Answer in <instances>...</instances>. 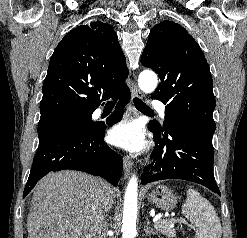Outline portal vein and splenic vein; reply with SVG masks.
<instances>
[{
  "instance_id": "portal-vein-and-splenic-vein-1",
  "label": "portal vein and splenic vein",
  "mask_w": 247,
  "mask_h": 238,
  "mask_svg": "<svg viewBox=\"0 0 247 238\" xmlns=\"http://www.w3.org/2000/svg\"><path fill=\"white\" fill-rule=\"evenodd\" d=\"M159 221L158 220H155L154 223L157 224Z\"/></svg>"
}]
</instances>
